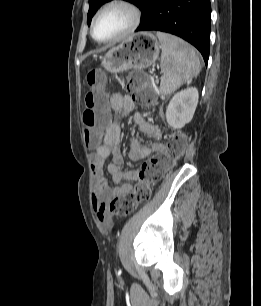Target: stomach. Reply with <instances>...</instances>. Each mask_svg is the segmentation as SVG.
<instances>
[{
	"label": "stomach",
	"mask_w": 261,
	"mask_h": 306,
	"mask_svg": "<svg viewBox=\"0 0 261 306\" xmlns=\"http://www.w3.org/2000/svg\"><path fill=\"white\" fill-rule=\"evenodd\" d=\"M160 47L153 33H136L111 48L101 58V65L110 73L145 69L158 59Z\"/></svg>",
	"instance_id": "0dacf381"
}]
</instances>
